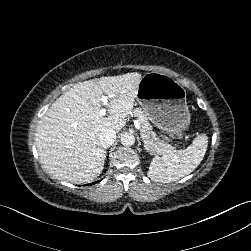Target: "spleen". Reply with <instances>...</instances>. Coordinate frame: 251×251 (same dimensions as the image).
Returning <instances> with one entry per match:
<instances>
[{
	"label": "spleen",
	"instance_id": "1",
	"mask_svg": "<svg viewBox=\"0 0 251 251\" xmlns=\"http://www.w3.org/2000/svg\"><path fill=\"white\" fill-rule=\"evenodd\" d=\"M207 145V137L201 134L184 151L172 150L161 158L156 157L150 166L148 177L157 182H169L188 175L203 159Z\"/></svg>",
	"mask_w": 251,
	"mask_h": 251
}]
</instances>
